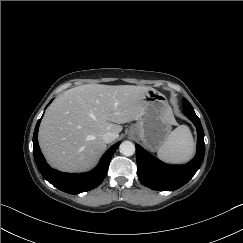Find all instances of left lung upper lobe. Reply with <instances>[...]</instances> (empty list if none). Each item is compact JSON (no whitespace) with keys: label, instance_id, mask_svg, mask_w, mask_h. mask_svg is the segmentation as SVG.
<instances>
[{"label":"left lung upper lobe","instance_id":"5c2ea615","mask_svg":"<svg viewBox=\"0 0 243 243\" xmlns=\"http://www.w3.org/2000/svg\"><path fill=\"white\" fill-rule=\"evenodd\" d=\"M188 107L189 109H193L191 104L184 98L183 100V108Z\"/></svg>","mask_w":243,"mask_h":243}]
</instances>
